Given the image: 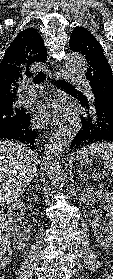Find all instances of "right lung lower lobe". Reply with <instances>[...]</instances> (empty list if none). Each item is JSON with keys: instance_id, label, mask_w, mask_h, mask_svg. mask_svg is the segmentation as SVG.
<instances>
[{"instance_id": "1", "label": "right lung lower lobe", "mask_w": 113, "mask_h": 279, "mask_svg": "<svg viewBox=\"0 0 113 279\" xmlns=\"http://www.w3.org/2000/svg\"><path fill=\"white\" fill-rule=\"evenodd\" d=\"M30 119L29 114H24L19 122L0 126V139H14L35 147L40 132L30 127Z\"/></svg>"}]
</instances>
